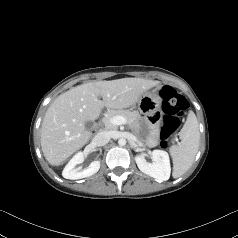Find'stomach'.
<instances>
[{"instance_id":"0dacf381","label":"stomach","mask_w":238,"mask_h":238,"mask_svg":"<svg viewBox=\"0 0 238 238\" xmlns=\"http://www.w3.org/2000/svg\"><path fill=\"white\" fill-rule=\"evenodd\" d=\"M161 98L157 93L146 91L138 100L137 108L141 113L149 114L153 110H159Z\"/></svg>"}]
</instances>
